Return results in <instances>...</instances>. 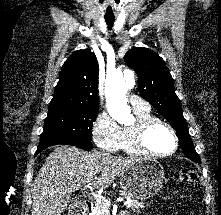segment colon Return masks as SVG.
<instances>
[{"mask_svg":"<svg viewBox=\"0 0 221 215\" xmlns=\"http://www.w3.org/2000/svg\"><path fill=\"white\" fill-rule=\"evenodd\" d=\"M181 179L191 185V186H194L196 187L197 184H198V181H199V175L198 173L192 169V168H185L182 170L181 172Z\"/></svg>","mask_w":221,"mask_h":215,"instance_id":"obj_1","label":"colon"}]
</instances>
